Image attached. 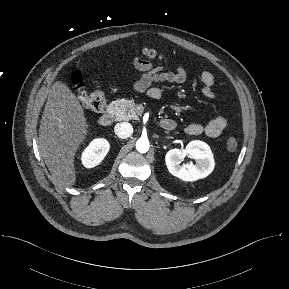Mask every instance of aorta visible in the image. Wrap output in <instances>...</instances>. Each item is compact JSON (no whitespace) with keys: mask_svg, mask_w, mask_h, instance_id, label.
I'll return each instance as SVG.
<instances>
[{"mask_svg":"<svg viewBox=\"0 0 289 289\" xmlns=\"http://www.w3.org/2000/svg\"><path fill=\"white\" fill-rule=\"evenodd\" d=\"M150 144L147 138H140L136 142V149L140 153H146L149 150Z\"/></svg>","mask_w":289,"mask_h":289,"instance_id":"obj_1","label":"aorta"}]
</instances>
